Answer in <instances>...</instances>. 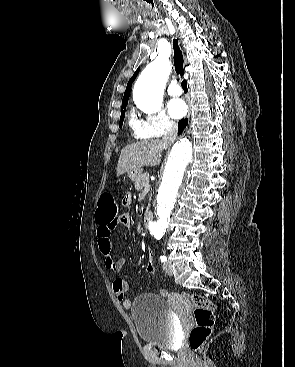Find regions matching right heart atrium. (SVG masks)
<instances>
[{
	"instance_id": "obj_1",
	"label": "right heart atrium",
	"mask_w": 295,
	"mask_h": 367,
	"mask_svg": "<svg viewBox=\"0 0 295 367\" xmlns=\"http://www.w3.org/2000/svg\"><path fill=\"white\" fill-rule=\"evenodd\" d=\"M131 127L138 138H157L176 130V124L162 109L148 112L143 117H134Z\"/></svg>"
}]
</instances>
